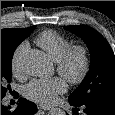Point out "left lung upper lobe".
<instances>
[{"instance_id": "5c2ea615", "label": "left lung upper lobe", "mask_w": 115, "mask_h": 115, "mask_svg": "<svg viewBox=\"0 0 115 115\" xmlns=\"http://www.w3.org/2000/svg\"><path fill=\"white\" fill-rule=\"evenodd\" d=\"M80 36L91 53L90 70L69 96L76 105L105 104L115 107V56L105 38L89 26H64Z\"/></svg>"}]
</instances>
